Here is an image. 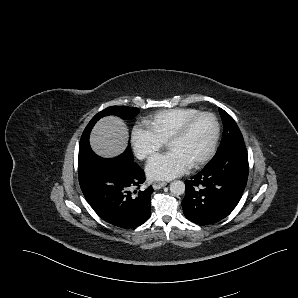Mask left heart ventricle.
<instances>
[{
	"label": "left heart ventricle",
	"instance_id": "obj_1",
	"mask_svg": "<svg viewBox=\"0 0 298 298\" xmlns=\"http://www.w3.org/2000/svg\"><path fill=\"white\" fill-rule=\"evenodd\" d=\"M212 134L211 121L202 117L183 134L173 140L169 150L176 152L188 165L195 161L207 148Z\"/></svg>",
	"mask_w": 298,
	"mask_h": 298
}]
</instances>
